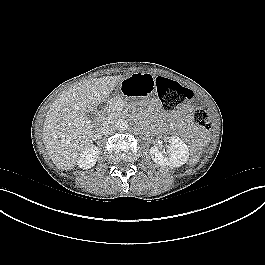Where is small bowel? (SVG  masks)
<instances>
[{"label":"small bowel","instance_id":"1","mask_svg":"<svg viewBox=\"0 0 265 265\" xmlns=\"http://www.w3.org/2000/svg\"><path fill=\"white\" fill-rule=\"evenodd\" d=\"M190 112H191L190 106H183L176 112V116L188 118Z\"/></svg>","mask_w":265,"mask_h":265}]
</instances>
